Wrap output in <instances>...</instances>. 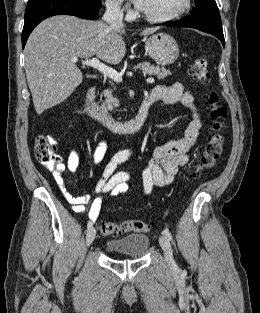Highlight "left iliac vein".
<instances>
[{"label":"left iliac vein","mask_w":260,"mask_h":313,"mask_svg":"<svg viewBox=\"0 0 260 313\" xmlns=\"http://www.w3.org/2000/svg\"><path fill=\"white\" fill-rule=\"evenodd\" d=\"M159 242H160L161 248L163 249L164 256L168 265L171 267H174L175 262L173 259L172 247H171L169 240L164 235H161L159 238Z\"/></svg>","instance_id":"4c4485c4"}]
</instances>
